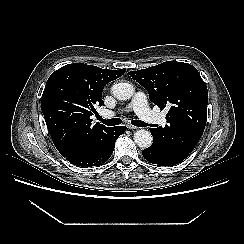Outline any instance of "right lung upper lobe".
Segmentation results:
<instances>
[{
    "label": "right lung upper lobe",
    "mask_w": 244,
    "mask_h": 244,
    "mask_svg": "<svg viewBox=\"0 0 244 244\" xmlns=\"http://www.w3.org/2000/svg\"><path fill=\"white\" fill-rule=\"evenodd\" d=\"M126 69L107 70L83 63L68 64L51 74L42 95L41 108L57 150L64 156L74 149L98 142L111 127L90 117L101 106L104 86Z\"/></svg>",
    "instance_id": "obj_1"
}]
</instances>
